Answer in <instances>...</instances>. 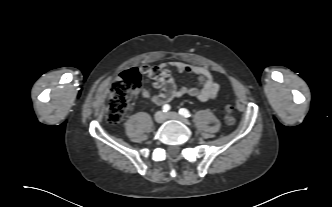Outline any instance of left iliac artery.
<instances>
[{
    "mask_svg": "<svg viewBox=\"0 0 332 207\" xmlns=\"http://www.w3.org/2000/svg\"><path fill=\"white\" fill-rule=\"evenodd\" d=\"M179 113H180L182 116H184L185 118H188V117L191 116L190 112H189L187 109H185V108H181V109L179 110Z\"/></svg>",
    "mask_w": 332,
    "mask_h": 207,
    "instance_id": "obj_1",
    "label": "left iliac artery"
}]
</instances>
